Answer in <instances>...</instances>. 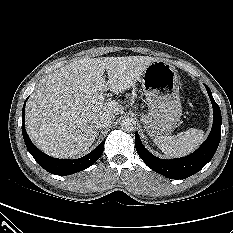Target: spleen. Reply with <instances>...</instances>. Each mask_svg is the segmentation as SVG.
<instances>
[{
  "label": "spleen",
  "instance_id": "obj_1",
  "mask_svg": "<svg viewBox=\"0 0 233 233\" xmlns=\"http://www.w3.org/2000/svg\"><path fill=\"white\" fill-rule=\"evenodd\" d=\"M205 139L203 130L191 128L173 136H155L154 143L168 157H182L194 151Z\"/></svg>",
  "mask_w": 233,
  "mask_h": 233
}]
</instances>
